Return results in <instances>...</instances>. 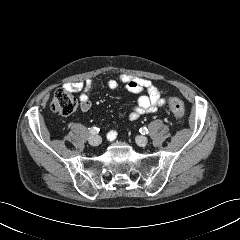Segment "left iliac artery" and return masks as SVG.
<instances>
[{
    "mask_svg": "<svg viewBox=\"0 0 240 240\" xmlns=\"http://www.w3.org/2000/svg\"><path fill=\"white\" fill-rule=\"evenodd\" d=\"M141 134H147L148 133V129L146 127H142L140 130Z\"/></svg>",
    "mask_w": 240,
    "mask_h": 240,
    "instance_id": "left-iliac-artery-1",
    "label": "left iliac artery"
}]
</instances>
